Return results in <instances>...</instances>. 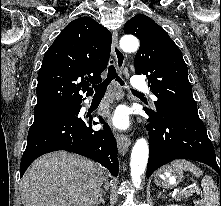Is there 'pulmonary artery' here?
<instances>
[{
	"label": "pulmonary artery",
	"instance_id": "obj_1",
	"mask_svg": "<svg viewBox=\"0 0 221 206\" xmlns=\"http://www.w3.org/2000/svg\"><path fill=\"white\" fill-rule=\"evenodd\" d=\"M130 83L135 90L148 91L147 81L140 75H134L131 78ZM151 97L156 100V97L154 95H152Z\"/></svg>",
	"mask_w": 221,
	"mask_h": 206
}]
</instances>
